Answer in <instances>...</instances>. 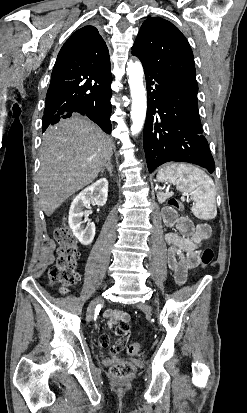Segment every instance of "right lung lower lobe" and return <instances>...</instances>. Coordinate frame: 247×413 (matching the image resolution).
I'll return each mask as SVG.
<instances>
[{"label":"right lung lower lobe","mask_w":247,"mask_h":413,"mask_svg":"<svg viewBox=\"0 0 247 413\" xmlns=\"http://www.w3.org/2000/svg\"><path fill=\"white\" fill-rule=\"evenodd\" d=\"M110 69L93 73L54 71L46 95L42 131L49 125L79 113L111 133Z\"/></svg>","instance_id":"obj_1"}]
</instances>
